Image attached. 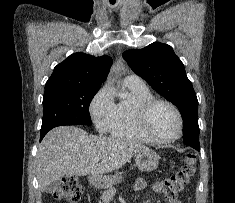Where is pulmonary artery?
I'll use <instances>...</instances> for the list:
<instances>
[{
	"instance_id": "1",
	"label": "pulmonary artery",
	"mask_w": 235,
	"mask_h": 203,
	"mask_svg": "<svg viewBox=\"0 0 235 203\" xmlns=\"http://www.w3.org/2000/svg\"><path fill=\"white\" fill-rule=\"evenodd\" d=\"M124 83L135 85V86H145L143 80L136 75H128L124 79Z\"/></svg>"
}]
</instances>
